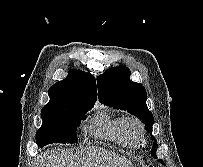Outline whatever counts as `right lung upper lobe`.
<instances>
[{
	"label": "right lung upper lobe",
	"mask_w": 203,
	"mask_h": 167,
	"mask_svg": "<svg viewBox=\"0 0 203 167\" xmlns=\"http://www.w3.org/2000/svg\"><path fill=\"white\" fill-rule=\"evenodd\" d=\"M50 101L42 110L59 108L75 101H96L97 89L95 78L90 73L70 70L68 76L49 89Z\"/></svg>",
	"instance_id": "1"
}]
</instances>
